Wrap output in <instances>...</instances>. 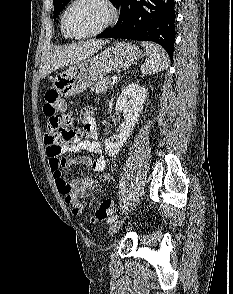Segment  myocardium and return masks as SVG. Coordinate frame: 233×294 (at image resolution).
I'll return each mask as SVG.
<instances>
[{"label":"myocardium","instance_id":"myocardium-1","mask_svg":"<svg viewBox=\"0 0 233 294\" xmlns=\"http://www.w3.org/2000/svg\"><path fill=\"white\" fill-rule=\"evenodd\" d=\"M81 1L82 0H72L63 12V15L61 18V28L67 37L72 38V39H77V40L95 37L97 35H100L104 31H106L108 28H110L116 22L117 17H118V13H117V9H116V6L114 5V3L111 0H96L98 3L103 5L105 7V9L107 10V18H106L105 22L100 27H98L97 29H95L89 33H86L83 35L71 34L66 27V18H67V15H68L70 9L75 4H77Z\"/></svg>","mask_w":233,"mask_h":294}]
</instances>
